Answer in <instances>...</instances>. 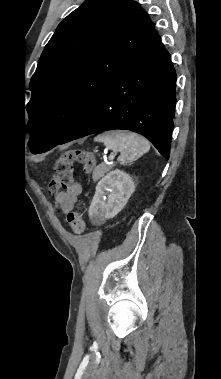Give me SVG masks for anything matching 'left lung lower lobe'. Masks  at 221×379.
<instances>
[{
    "mask_svg": "<svg viewBox=\"0 0 221 379\" xmlns=\"http://www.w3.org/2000/svg\"><path fill=\"white\" fill-rule=\"evenodd\" d=\"M175 87L176 73L171 56L154 31L58 144L101 131L126 129L145 136L168 159L174 126Z\"/></svg>",
    "mask_w": 221,
    "mask_h": 379,
    "instance_id": "left-lung-lower-lobe-1",
    "label": "left lung lower lobe"
}]
</instances>
